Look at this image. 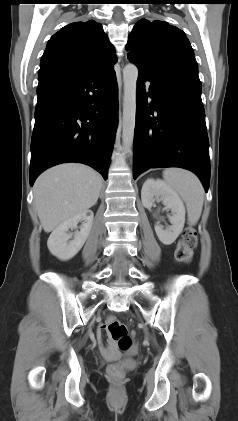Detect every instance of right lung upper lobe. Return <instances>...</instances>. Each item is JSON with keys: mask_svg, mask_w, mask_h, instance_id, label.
I'll use <instances>...</instances> for the list:
<instances>
[{"mask_svg": "<svg viewBox=\"0 0 238 421\" xmlns=\"http://www.w3.org/2000/svg\"><path fill=\"white\" fill-rule=\"evenodd\" d=\"M116 62L114 47L102 25L94 20L76 22L60 29L48 41L39 76L105 72Z\"/></svg>", "mask_w": 238, "mask_h": 421, "instance_id": "obj_1", "label": "right lung upper lobe"}]
</instances>
